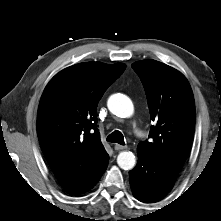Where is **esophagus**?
Instances as JSON below:
<instances>
[{"label":"esophagus","instance_id":"34e87169","mask_svg":"<svg viewBox=\"0 0 221 221\" xmlns=\"http://www.w3.org/2000/svg\"><path fill=\"white\" fill-rule=\"evenodd\" d=\"M115 150H124V149H127V146H123V145H120V144H116L114 146Z\"/></svg>","mask_w":221,"mask_h":221}]
</instances>
